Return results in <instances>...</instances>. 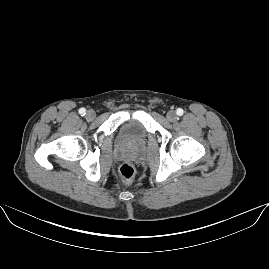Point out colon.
Instances as JSON below:
<instances>
[{
  "mask_svg": "<svg viewBox=\"0 0 269 269\" xmlns=\"http://www.w3.org/2000/svg\"><path fill=\"white\" fill-rule=\"evenodd\" d=\"M135 174L136 169L130 162L123 163L119 168V176L123 182H131Z\"/></svg>",
  "mask_w": 269,
  "mask_h": 269,
  "instance_id": "obj_1",
  "label": "colon"
}]
</instances>
